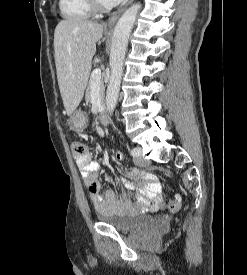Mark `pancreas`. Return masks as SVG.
<instances>
[{
	"label": "pancreas",
	"mask_w": 247,
	"mask_h": 275,
	"mask_svg": "<svg viewBox=\"0 0 247 275\" xmlns=\"http://www.w3.org/2000/svg\"><path fill=\"white\" fill-rule=\"evenodd\" d=\"M92 85H93V81L92 78L90 77L87 89H86V94H85V100L87 103H89L91 101V93H92ZM104 91H105V87L102 81H100L99 83V94H100V99L101 102H103L104 100Z\"/></svg>",
	"instance_id": "obj_1"
}]
</instances>
